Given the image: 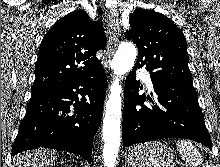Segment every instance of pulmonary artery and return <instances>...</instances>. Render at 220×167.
I'll list each match as a JSON object with an SVG mask.
<instances>
[{
	"mask_svg": "<svg viewBox=\"0 0 220 167\" xmlns=\"http://www.w3.org/2000/svg\"><path fill=\"white\" fill-rule=\"evenodd\" d=\"M139 74L142 76L144 83L150 91H153V84L150 76L143 70L139 71Z\"/></svg>",
	"mask_w": 220,
	"mask_h": 167,
	"instance_id": "obj_1",
	"label": "pulmonary artery"
}]
</instances>
